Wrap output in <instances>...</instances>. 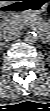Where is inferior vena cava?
Wrapping results in <instances>:
<instances>
[{"label": "inferior vena cava", "instance_id": "602c4592", "mask_svg": "<svg viewBox=\"0 0 50 111\" xmlns=\"http://www.w3.org/2000/svg\"><path fill=\"white\" fill-rule=\"evenodd\" d=\"M20 35V32L18 30H9L5 31L1 34V38L5 41H12L16 39Z\"/></svg>", "mask_w": 50, "mask_h": 111}]
</instances>
